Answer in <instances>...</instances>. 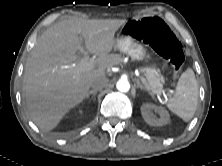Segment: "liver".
I'll return each mask as SVG.
<instances>
[{
    "instance_id": "1",
    "label": "liver",
    "mask_w": 222,
    "mask_h": 166,
    "mask_svg": "<svg viewBox=\"0 0 222 166\" xmlns=\"http://www.w3.org/2000/svg\"><path fill=\"white\" fill-rule=\"evenodd\" d=\"M123 19L70 18L49 27L37 40L26 62L23 98L31 120L42 131L54 129L65 114L81 103L93 81L122 58L110 54L115 33ZM86 49L97 56L95 67L75 72L66 68L80 59Z\"/></svg>"
}]
</instances>
